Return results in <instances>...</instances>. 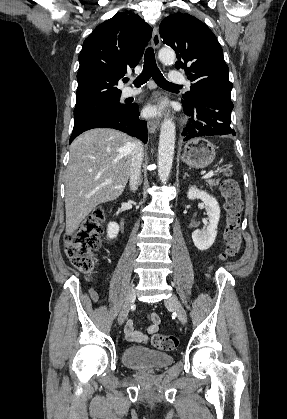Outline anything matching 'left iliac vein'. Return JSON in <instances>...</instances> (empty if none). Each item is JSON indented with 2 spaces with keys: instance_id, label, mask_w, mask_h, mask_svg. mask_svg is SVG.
Returning a JSON list of instances; mask_svg holds the SVG:
<instances>
[{
  "instance_id": "left-iliac-vein-1",
  "label": "left iliac vein",
  "mask_w": 287,
  "mask_h": 419,
  "mask_svg": "<svg viewBox=\"0 0 287 419\" xmlns=\"http://www.w3.org/2000/svg\"><path fill=\"white\" fill-rule=\"evenodd\" d=\"M165 305L168 308H171L177 314V317L182 324H185L187 322L186 311L183 308L182 304L180 303V301H179V299L177 298L176 295L172 294L165 301Z\"/></svg>"
}]
</instances>
